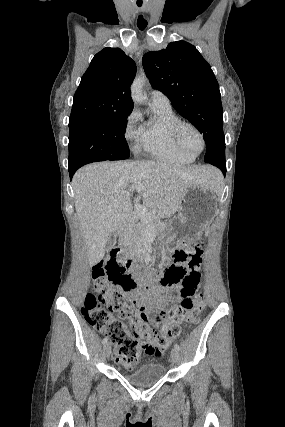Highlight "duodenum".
Wrapping results in <instances>:
<instances>
[{
	"instance_id": "410a0bca",
	"label": "duodenum",
	"mask_w": 285,
	"mask_h": 427,
	"mask_svg": "<svg viewBox=\"0 0 285 427\" xmlns=\"http://www.w3.org/2000/svg\"><path fill=\"white\" fill-rule=\"evenodd\" d=\"M128 226H130L133 230H135L136 232H141L142 231V229L139 227V226H136V225H133V224H131V225H128L127 223H125V222H119L118 223V228L120 229V230H124V229H126Z\"/></svg>"
}]
</instances>
